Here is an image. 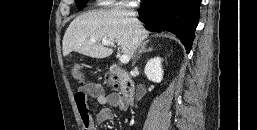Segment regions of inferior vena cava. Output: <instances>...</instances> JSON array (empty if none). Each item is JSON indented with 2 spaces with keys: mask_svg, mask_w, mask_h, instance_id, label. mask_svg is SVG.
<instances>
[{
  "mask_svg": "<svg viewBox=\"0 0 257 130\" xmlns=\"http://www.w3.org/2000/svg\"><path fill=\"white\" fill-rule=\"evenodd\" d=\"M140 39L137 35V31L134 32V38H133V54L137 50V48L140 46Z\"/></svg>",
  "mask_w": 257,
  "mask_h": 130,
  "instance_id": "obj_1",
  "label": "inferior vena cava"
}]
</instances>
